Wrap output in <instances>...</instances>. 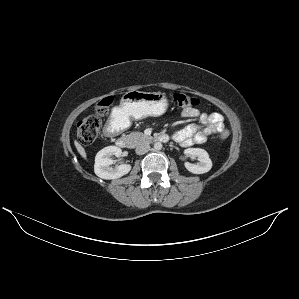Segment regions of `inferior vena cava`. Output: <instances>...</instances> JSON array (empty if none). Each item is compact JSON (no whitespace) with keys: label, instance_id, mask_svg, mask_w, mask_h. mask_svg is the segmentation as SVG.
Listing matches in <instances>:
<instances>
[{"label":"inferior vena cava","instance_id":"602c4592","mask_svg":"<svg viewBox=\"0 0 299 299\" xmlns=\"http://www.w3.org/2000/svg\"><path fill=\"white\" fill-rule=\"evenodd\" d=\"M150 150V145L149 144H139L136 147V154L138 155H143L146 152H148Z\"/></svg>","mask_w":299,"mask_h":299}]
</instances>
